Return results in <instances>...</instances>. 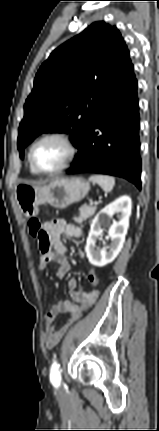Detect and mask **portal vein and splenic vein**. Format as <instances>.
Segmentation results:
<instances>
[{"instance_id": "portal-vein-and-splenic-vein-1", "label": "portal vein and splenic vein", "mask_w": 159, "mask_h": 431, "mask_svg": "<svg viewBox=\"0 0 159 431\" xmlns=\"http://www.w3.org/2000/svg\"><path fill=\"white\" fill-rule=\"evenodd\" d=\"M98 202H91V205H97Z\"/></svg>"}]
</instances>
